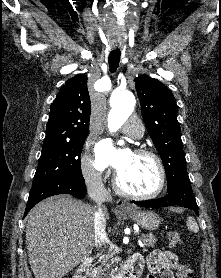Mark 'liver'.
Wrapping results in <instances>:
<instances>
[{
  "label": "liver",
  "instance_id": "1",
  "mask_svg": "<svg viewBox=\"0 0 221 278\" xmlns=\"http://www.w3.org/2000/svg\"><path fill=\"white\" fill-rule=\"evenodd\" d=\"M95 211V206L59 195L29 212L26 245L35 278H63L91 255ZM104 213L109 219L106 207Z\"/></svg>",
  "mask_w": 221,
  "mask_h": 278
}]
</instances>
